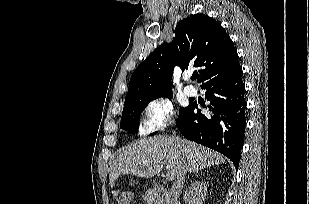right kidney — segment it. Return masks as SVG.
Segmentation results:
<instances>
[{
    "label": "right kidney",
    "instance_id": "right-kidney-1",
    "mask_svg": "<svg viewBox=\"0 0 309 204\" xmlns=\"http://www.w3.org/2000/svg\"><path fill=\"white\" fill-rule=\"evenodd\" d=\"M206 193L207 183L195 182L184 193V201L186 204H203Z\"/></svg>",
    "mask_w": 309,
    "mask_h": 204
}]
</instances>
